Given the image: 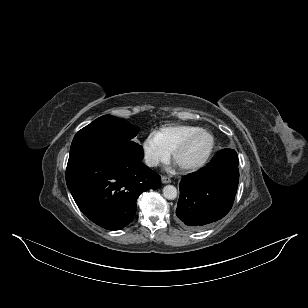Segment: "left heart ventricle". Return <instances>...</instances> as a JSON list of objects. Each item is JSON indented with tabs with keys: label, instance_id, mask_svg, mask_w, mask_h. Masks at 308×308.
<instances>
[{
	"label": "left heart ventricle",
	"instance_id": "left-heart-ventricle-1",
	"mask_svg": "<svg viewBox=\"0 0 308 308\" xmlns=\"http://www.w3.org/2000/svg\"><path fill=\"white\" fill-rule=\"evenodd\" d=\"M211 139L208 135L197 136L178 159V164H193L201 160L209 149Z\"/></svg>",
	"mask_w": 308,
	"mask_h": 308
}]
</instances>
